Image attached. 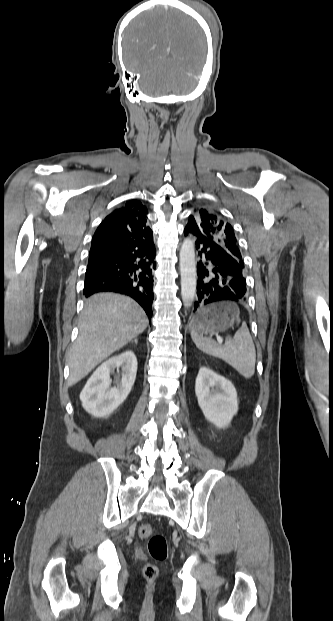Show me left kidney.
<instances>
[{
	"label": "left kidney",
	"mask_w": 333,
	"mask_h": 621,
	"mask_svg": "<svg viewBox=\"0 0 333 621\" xmlns=\"http://www.w3.org/2000/svg\"><path fill=\"white\" fill-rule=\"evenodd\" d=\"M195 393L205 418L218 428L227 427L238 412L234 385L206 367L199 369Z\"/></svg>",
	"instance_id": "obj_1"
}]
</instances>
